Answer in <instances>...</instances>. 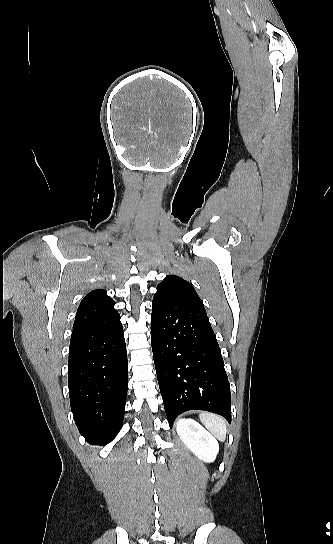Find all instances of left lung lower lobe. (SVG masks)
Here are the masks:
<instances>
[{
	"label": "left lung lower lobe",
	"instance_id": "0a47b994",
	"mask_svg": "<svg viewBox=\"0 0 333 544\" xmlns=\"http://www.w3.org/2000/svg\"><path fill=\"white\" fill-rule=\"evenodd\" d=\"M152 305V351L170 427L178 415L194 409L230 423L228 377L205 308L176 300Z\"/></svg>",
	"mask_w": 333,
	"mask_h": 544
}]
</instances>
